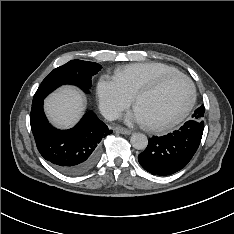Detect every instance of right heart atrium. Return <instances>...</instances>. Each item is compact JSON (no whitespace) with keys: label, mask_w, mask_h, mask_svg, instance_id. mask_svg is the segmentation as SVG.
<instances>
[{"label":"right heart atrium","mask_w":234,"mask_h":234,"mask_svg":"<svg viewBox=\"0 0 234 234\" xmlns=\"http://www.w3.org/2000/svg\"><path fill=\"white\" fill-rule=\"evenodd\" d=\"M97 95L102 112L117 118L132 103L130 96L116 76L102 75L97 85Z\"/></svg>","instance_id":"d8ad5b80"}]
</instances>
